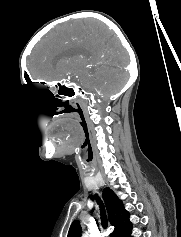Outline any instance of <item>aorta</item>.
Returning a JSON list of instances; mask_svg holds the SVG:
<instances>
[{"mask_svg": "<svg viewBox=\"0 0 181 237\" xmlns=\"http://www.w3.org/2000/svg\"><path fill=\"white\" fill-rule=\"evenodd\" d=\"M83 237H88V235H87V234H85V235H83Z\"/></svg>", "mask_w": 181, "mask_h": 237, "instance_id": "762f6f07", "label": "aorta"}]
</instances>
